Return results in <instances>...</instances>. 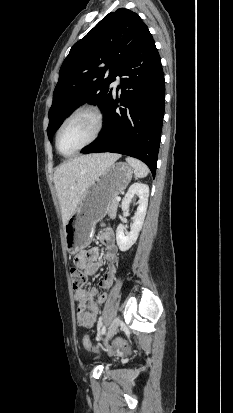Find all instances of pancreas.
Segmentation results:
<instances>
[{
  "label": "pancreas",
  "mask_w": 233,
  "mask_h": 413,
  "mask_svg": "<svg viewBox=\"0 0 233 413\" xmlns=\"http://www.w3.org/2000/svg\"><path fill=\"white\" fill-rule=\"evenodd\" d=\"M118 207V201L115 200V198L111 199L108 202L107 205V213L109 214L110 217H114L116 214V210Z\"/></svg>",
  "instance_id": "1"
}]
</instances>
